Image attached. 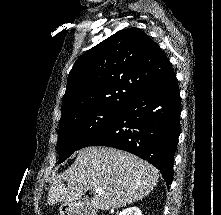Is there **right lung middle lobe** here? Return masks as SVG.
Segmentation results:
<instances>
[{
  "label": "right lung middle lobe",
  "instance_id": "1",
  "mask_svg": "<svg viewBox=\"0 0 221 215\" xmlns=\"http://www.w3.org/2000/svg\"><path fill=\"white\" fill-rule=\"evenodd\" d=\"M119 110L93 108L69 114L60 119L59 162H63L73 152L79 150L91 136L97 134L114 122Z\"/></svg>",
  "mask_w": 221,
  "mask_h": 215
}]
</instances>
